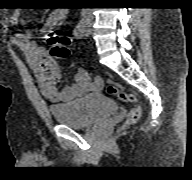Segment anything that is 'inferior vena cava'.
<instances>
[{
  "instance_id": "602c4592",
  "label": "inferior vena cava",
  "mask_w": 192,
  "mask_h": 180,
  "mask_svg": "<svg viewBox=\"0 0 192 180\" xmlns=\"http://www.w3.org/2000/svg\"><path fill=\"white\" fill-rule=\"evenodd\" d=\"M82 14H83V16H87V17L91 16V13L88 9H85Z\"/></svg>"
}]
</instances>
